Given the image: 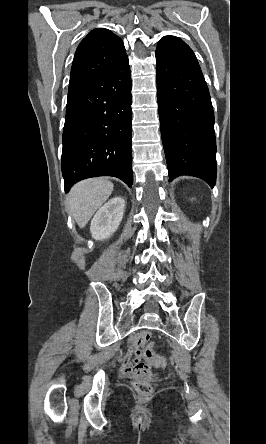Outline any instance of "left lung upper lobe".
Wrapping results in <instances>:
<instances>
[{"mask_svg": "<svg viewBox=\"0 0 266 444\" xmlns=\"http://www.w3.org/2000/svg\"><path fill=\"white\" fill-rule=\"evenodd\" d=\"M156 56L179 65L199 67L197 58L191 48L175 36H165L158 42Z\"/></svg>", "mask_w": 266, "mask_h": 444, "instance_id": "left-lung-upper-lobe-1", "label": "left lung upper lobe"}]
</instances>
